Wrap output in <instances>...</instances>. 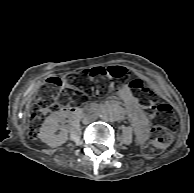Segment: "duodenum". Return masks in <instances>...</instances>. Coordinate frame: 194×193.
I'll return each mask as SVG.
<instances>
[{
	"label": "duodenum",
	"instance_id": "1",
	"mask_svg": "<svg viewBox=\"0 0 194 193\" xmlns=\"http://www.w3.org/2000/svg\"><path fill=\"white\" fill-rule=\"evenodd\" d=\"M63 112L72 118L79 117L83 113L82 110L77 107H67L63 110Z\"/></svg>",
	"mask_w": 194,
	"mask_h": 193
}]
</instances>
